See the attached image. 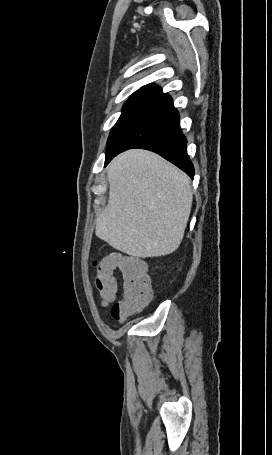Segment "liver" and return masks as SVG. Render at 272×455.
I'll return each instance as SVG.
<instances>
[{
    "instance_id": "liver-1",
    "label": "liver",
    "mask_w": 272,
    "mask_h": 455,
    "mask_svg": "<svg viewBox=\"0 0 272 455\" xmlns=\"http://www.w3.org/2000/svg\"><path fill=\"white\" fill-rule=\"evenodd\" d=\"M107 177L109 200L96 218V236L131 256L173 253L191 212L189 177L158 155L137 149L115 157Z\"/></svg>"
}]
</instances>
